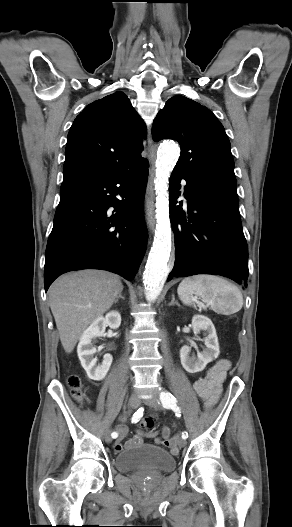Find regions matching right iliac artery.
<instances>
[{
  "label": "right iliac artery",
  "instance_id": "obj_1",
  "mask_svg": "<svg viewBox=\"0 0 292 527\" xmlns=\"http://www.w3.org/2000/svg\"><path fill=\"white\" fill-rule=\"evenodd\" d=\"M142 416V410H138L135 414H134V417L132 418V421H131V426H136V424H138V421L140 419V417ZM112 438H117L118 437V433L117 432H113L111 434Z\"/></svg>",
  "mask_w": 292,
  "mask_h": 527
}]
</instances>
